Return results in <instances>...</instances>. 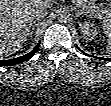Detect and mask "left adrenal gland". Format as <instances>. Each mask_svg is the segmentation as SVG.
<instances>
[{
    "label": "left adrenal gland",
    "instance_id": "1",
    "mask_svg": "<svg viewBox=\"0 0 111 106\" xmlns=\"http://www.w3.org/2000/svg\"><path fill=\"white\" fill-rule=\"evenodd\" d=\"M71 11L75 12V17L78 18L80 15L85 14V12L81 11L80 9L76 7H71Z\"/></svg>",
    "mask_w": 111,
    "mask_h": 106
}]
</instances>
